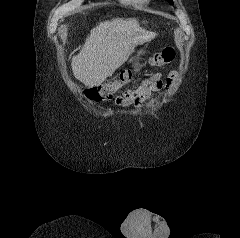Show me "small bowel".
I'll use <instances>...</instances> for the list:
<instances>
[{"mask_svg":"<svg viewBox=\"0 0 240 238\" xmlns=\"http://www.w3.org/2000/svg\"><path fill=\"white\" fill-rule=\"evenodd\" d=\"M176 77V72L173 70L167 78L163 80L160 73L154 74L144 79L137 88L126 90L121 96L115 99V103L120 107L130 105L141 106L151 94L162 89H169Z\"/></svg>","mask_w":240,"mask_h":238,"instance_id":"1","label":"small bowel"}]
</instances>
